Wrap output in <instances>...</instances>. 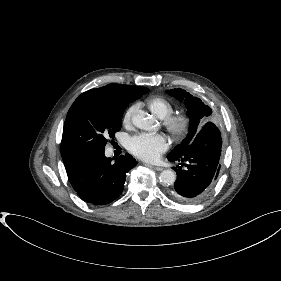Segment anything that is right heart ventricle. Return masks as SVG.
Instances as JSON below:
<instances>
[{
  "mask_svg": "<svg viewBox=\"0 0 281 281\" xmlns=\"http://www.w3.org/2000/svg\"><path fill=\"white\" fill-rule=\"evenodd\" d=\"M146 105L158 118L163 119L173 112V105L166 98L155 96L147 99Z\"/></svg>",
  "mask_w": 281,
  "mask_h": 281,
  "instance_id": "obj_1",
  "label": "right heart ventricle"
}]
</instances>
